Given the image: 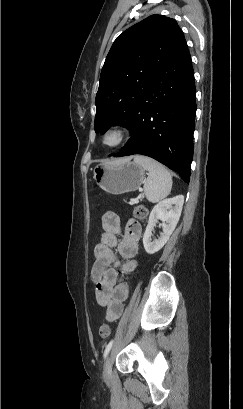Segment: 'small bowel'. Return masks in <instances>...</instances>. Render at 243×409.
I'll return each instance as SVG.
<instances>
[{
    "instance_id": "obj_1",
    "label": "small bowel",
    "mask_w": 243,
    "mask_h": 409,
    "mask_svg": "<svg viewBox=\"0 0 243 409\" xmlns=\"http://www.w3.org/2000/svg\"><path fill=\"white\" fill-rule=\"evenodd\" d=\"M102 232L99 242L94 247L95 261L91 277L95 283V297L98 305L106 309L105 319L116 321L123 312V302L128 298V286L118 282V269L124 275L131 274L137 267L136 255L142 228L138 221L131 219L122 230L119 215L113 211L105 212L101 218ZM121 236L118 241L117 237ZM126 259L121 262L113 251Z\"/></svg>"
}]
</instances>
